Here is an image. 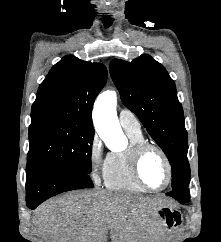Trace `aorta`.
<instances>
[{"mask_svg": "<svg viewBox=\"0 0 221 242\" xmlns=\"http://www.w3.org/2000/svg\"><path fill=\"white\" fill-rule=\"evenodd\" d=\"M117 95L115 91L101 93L95 101L93 122L100 138L110 147L124 140L117 114Z\"/></svg>", "mask_w": 221, "mask_h": 242, "instance_id": "aorta-1", "label": "aorta"}]
</instances>
